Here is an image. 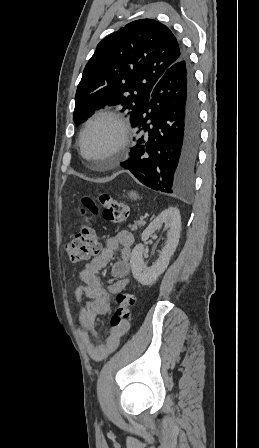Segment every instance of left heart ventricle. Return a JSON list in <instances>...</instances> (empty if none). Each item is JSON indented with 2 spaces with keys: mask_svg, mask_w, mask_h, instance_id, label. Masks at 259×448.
<instances>
[{
  "mask_svg": "<svg viewBox=\"0 0 259 448\" xmlns=\"http://www.w3.org/2000/svg\"><path fill=\"white\" fill-rule=\"evenodd\" d=\"M116 137V127L108 121L94 123L83 138V159L87 162L107 160V148Z\"/></svg>",
  "mask_w": 259,
  "mask_h": 448,
  "instance_id": "1",
  "label": "left heart ventricle"
}]
</instances>
